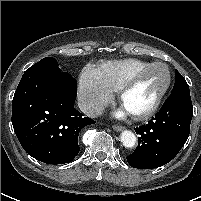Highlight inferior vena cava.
I'll list each match as a JSON object with an SVG mask.
<instances>
[{
	"label": "inferior vena cava",
	"mask_w": 201,
	"mask_h": 201,
	"mask_svg": "<svg viewBox=\"0 0 201 201\" xmlns=\"http://www.w3.org/2000/svg\"><path fill=\"white\" fill-rule=\"evenodd\" d=\"M78 107L85 115L91 118L102 115L104 111V107L100 103L82 98L78 99Z\"/></svg>",
	"instance_id": "inferior-vena-cava-1"
}]
</instances>
